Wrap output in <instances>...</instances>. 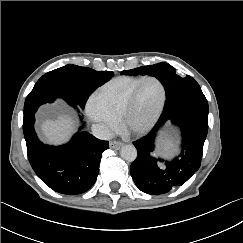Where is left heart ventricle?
<instances>
[{"label":"left heart ventricle","mask_w":243,"mask_h":243,"mask_svg":"<svg viewBox=\"0 0 243 243\" xmlns=\"http://www.w3.org/2000/svg\"><path fill=\"white\" fill-rule=\"evenodd\" d=\"M161 95V88L155 81L146 82L141 87L130 111L129 125L136 127L146 122L159 105Z\"/></svg>","instance_id":"obj_1"}]
</instances>
